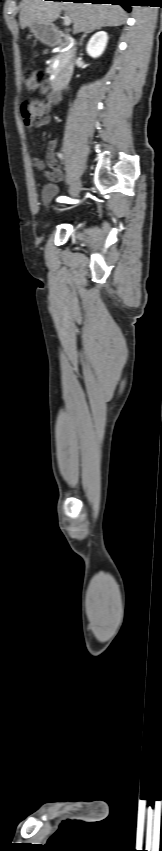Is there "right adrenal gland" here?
Segmentation results:
<instances>
[{
    "label": "right adrenal gland",
    "mask_w": 162,
    "mask_h": 851,
    "mask_svg": "<svg viewBox=\"0 0 162 851\" xmlns=\"http://www.w3.org/2000/svg\"><path fill=\"white\" fill-rule=\"evenodd\" d=\"M98 29H99V28H98ZM95 30H96V29H92V30L87 31V32H86V33L82 36L81 41H80V45H82L83 40H84V38L87 36V34L92 33V32H94Z\"/></svg>",
    "instance_id": "obj_1"
}]
</instances>
